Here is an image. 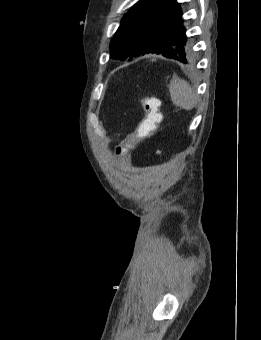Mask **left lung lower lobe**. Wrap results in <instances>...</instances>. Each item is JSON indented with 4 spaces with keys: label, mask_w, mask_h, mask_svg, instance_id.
Returning a JSON list of instances; mask_svg holds the SVG:
<instances>
[{
    "label": "left lung lower lobe",
    "mask_w": 261,
    "mask_h": 340,
    "mask_svg": "<svg viewBox=\"0 0 261 340\" xmlns=\"http://www.w3.org/2000/svg\"><path fill=\"white\" fill-rule=\"evenodd\" d=\"M160 13L164 14V16H166V18L169 20L179 18L182 15L180 5L176 2V0H167L164 6L162 7V9L160 10ZM156 54H162L163 56L167 58H172V59L179 60L182 63H187L183 60L178 59L174 55V53L171 52L170 50H162L161 52L156 53Z\"/></svg>",
    "instance_id": "0a47b994"
}]
</instances>
